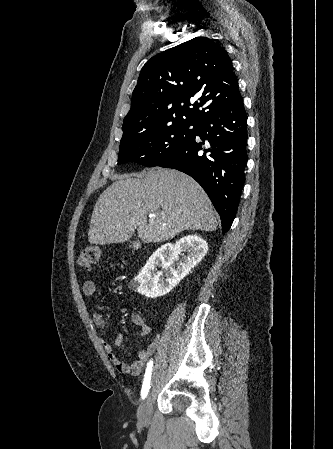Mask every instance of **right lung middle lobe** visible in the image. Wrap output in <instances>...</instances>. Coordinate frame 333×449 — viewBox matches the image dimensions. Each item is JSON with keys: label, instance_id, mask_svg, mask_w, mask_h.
<instances>
[{"label": "right lung middle lobe", "instance_id": "obj_1", "mask_svg": "<svg viewBox=\"0 0 333 449\" xmlns=\"http://www.w3.org/2000/svg\"><path fill=\"white\" fill-rule=\"evenodd\" d=\"M193 126V129H190ZM197 122L175 120L120 142L118 164L153 167L165 161L196 132Z\"/></svg>", "mask_w": 333, "mask_h": 449}]
</instances>
